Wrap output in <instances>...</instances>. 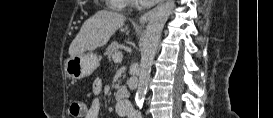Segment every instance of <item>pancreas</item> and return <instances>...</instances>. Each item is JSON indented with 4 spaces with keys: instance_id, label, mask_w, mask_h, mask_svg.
<instances>
[{
    "instance_id": "pancreas-1",
    "label": "pancreas",
    "mask_w": 273,
    "mask_h": 118,
    "mask_svg": "<svg viewBox=\"0 0 273 118\" xmlns=\"http://www.w3.org/2000/svg\"><path fill=\"white\" fill-rule=\"evenodd\" d=\"M119 52V46L117 42H112L106 49L105 56L111 60L115 53Z\"/></svg>"
}]
</instances>
